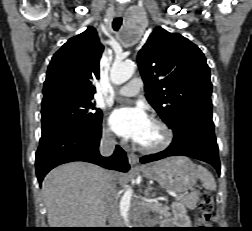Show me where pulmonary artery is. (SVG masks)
Here are the masks:
<instances>
[{"instance_id": "e3ab8cb5", "label": "pulmonary artery", "mask_w": 252, "mask_h": 231, "mask_svg": "<svg viewBox=\"0 0 252 231\" xmlns=\"http://www.w3.org/2000/svg\"><path fill=\"white\" fill-rule=\"evenodd\" d=\"M142 88V80L140 78H133L118 90L121 96H136Z\"/></svg>"}]
</instances>
